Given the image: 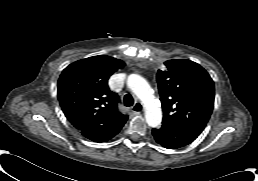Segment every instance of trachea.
Returning a JSON list of instances; mask_svg holds the SVG:
<instances>
[{
  "label": "trachea",
  "instance_id": "3493384b",
  "mask_svg": "<svg viewBox=\"0 0 258 181\" xmlns=\"http://www.w3.org/2000/svg\"><path fill=\"white\" fill-rule=\"evenodd\" d=\"M134 104L133 97L130 94L124 96V105L130 107Z\"/></svg>",
  "mask_w": 258,
  "mask_h": 181
}]
</instances>
